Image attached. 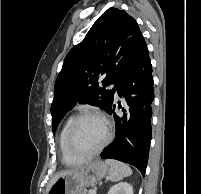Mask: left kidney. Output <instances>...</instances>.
<instances>
[{
	"mask_svg": "<svg viewBox=\"0 0 201 194\" xmlns=\"http://www.w3.org/2000/svg\"><path fill=\"white\" fill-rule=\"evenodd\" d=\"M107 194H133V188L127 182H120L113 185Z\"/></svg>",
	"mask_w": 201,
	"mask_h": 194,
	"instance_id": "obj_1",
	"label": "left kidney"
}]
</instances>
